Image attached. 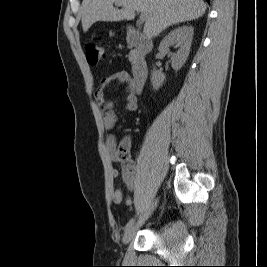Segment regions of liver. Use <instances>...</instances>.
Masks as SVG:
<instances>
[{
	"mask_svg": "<svg viewBox=\"0 0 267 267\" xmlns=\"http://www.w3.org/2000/svg\"><path fill=\"white\" fill-rule=\"evenodd\" d=\"M114 3L122 9L114 8ZM206 8L202 0H83L82 28L87 32L97 21L133 20L141 12L147 15L143 33L151 39L173 24L198 19Z\"/></svg>",
	"mask_w": 267,
	"mask_h": 267,
	"instance_id": "liver-1",
	"label": "liver"
}]
</instances>
